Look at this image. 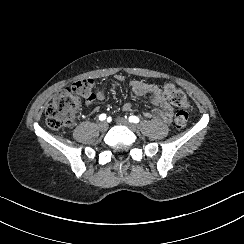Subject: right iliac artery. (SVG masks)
Listing matches in <instances>:
<instances>
[{
    "instance_id": "82829eb1",
    "label": "right iliac artery",
    "mask_w": 244,
    "mask_h": 244,
    "mask_svg": "<svg viewBox=\"0 0 244 244\" xmlns=\"http://www.w3.org/2000/svg\"><path fill=\"white\" fill-rule=\"evenodd\" d=\"M106 119V114H101L100 116H99V120H101V121H103V120H105ZM108 119H111V117H108ZM107 119V120H108Z\"/></svg>"
}]
</instances>
